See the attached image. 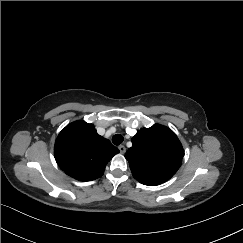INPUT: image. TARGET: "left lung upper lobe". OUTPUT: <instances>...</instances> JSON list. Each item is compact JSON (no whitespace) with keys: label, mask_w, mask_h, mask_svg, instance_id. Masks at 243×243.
I'll use <instances>...</instances> for the list:
<instances>
[{"label":"left lung upper lobe","mask_w":243,"mask_h":243,"mask_svg":"<svg viewBox=\"0 0 243 243\" xmlns=\"http://www.w3.org/2000/svg\"><path fill=\"white\" fill-rule=\"evenodd\" d=\"M132 147L125 154L134 178L148 186L169 180L180 168L183 147L168 127L155 124L142 128L132 137Z\"/></svg>","instance_id":"obj_1"}]
</instances>
